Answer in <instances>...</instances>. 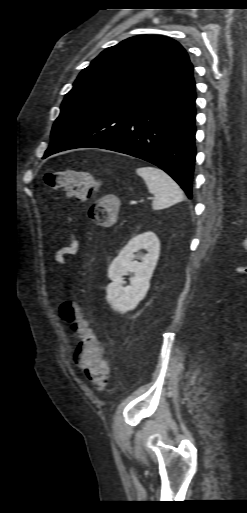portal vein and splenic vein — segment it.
<instances>
[{
    "label": "portal vein and splenic vein",
    "instance_id": "1",
    "mask_svg": "<svg viewBox=\"0 0 247 513\" xmlns=\"http://www.w3.org/2000/svg\"><path fill=\"white\" fill-rule=\"evenodd\" d=\"M136 203H137V201H131V202H130V204H131V205H134V204H136Z\"/></svg>",
    "mask_w": 247,
    "mask_h": 513
}]
</instances>
